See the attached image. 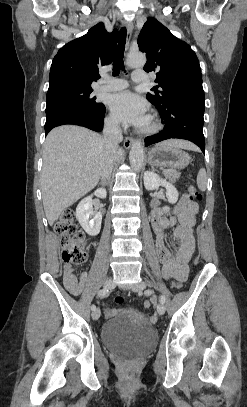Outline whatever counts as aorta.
I'll use <instances>...</instances> for the list:
<instances>
[{"instance_id": "aorta-1", "label": "aorta", "mask_w": 247, "mask_h": 407, "mask_svg": "<svg viewBox=\"0 0 247 407\" xmlns=\"http://www.w3.org/2000/svg\"><path fill=\"white\" fill-rule=\"evenodd\" d=\"M146 63V56L143 53H130L127 57V65L132 68L143 67ZM129 160L132 168L140 171L144 162V147L140 140L132 143Z\"/></svg>"}]
</instances>
